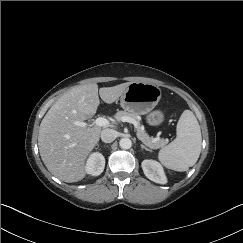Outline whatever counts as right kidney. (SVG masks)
<instances>
[{"label":"right kidney","mask_w":243,"mask_h":243,"mask_svg":"<svg viewBox=\"0 0 243 243\" xmlns=\"http://www.w3.org/2000/svg\"><path fill=\"white\" fill-rule=\"evenodd\" d=\"M105 167V158L99 153L95 152L90 155L86 163V172L92 176H99Z\"/></svg>","instance_id":"obj_1"}]
</instances>
